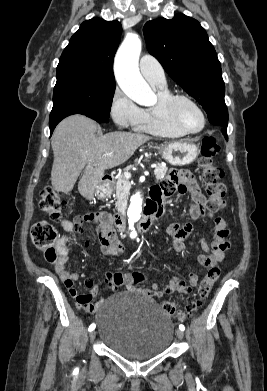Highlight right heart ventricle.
I'll use <instances>...</instances> for the list:
<instances>
[{"label": "right heart ventricle", "instance_id": "obj_1", "mask_svg": "<svg viewBox=\"0 0 267 391\" xmlns=\"http://www.w3.org/2000/svg\"><path fill=\"white\" fill-rule=\"evenodd\" d=\"M158 95V102L154 106L142 109L141 118L134 129L158 137L178 138L185 135L183 131L173 125L163 114L160 102L170 95L167 87H154Z\"/></svg>", "mask_w": 267, "mask_h": 391}]
</instances>
